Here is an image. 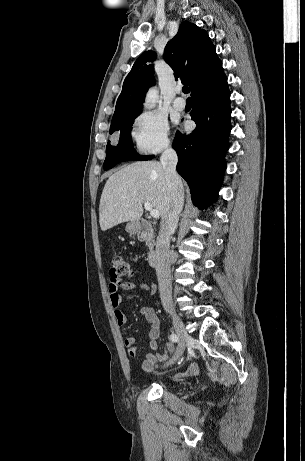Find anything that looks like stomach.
Instances as JSON below:
<instances>
[{
    "label": "stomach",
    "mask_w": 305,
    "mask_h": 461,
    "mask_svg": "<svg viewBox=\"0 0 305 461\" xmlns=\"http://www.w3.org/2000/svg\"><path fill=\"white\" fill-rule=\"evenodd\" d=\"M139 228L137 226L136 223L134 222H130L126 225V231L130 234V235H134L138 232Z\"/></svg>",
    "instance_id": "1"
}]
</instances>
